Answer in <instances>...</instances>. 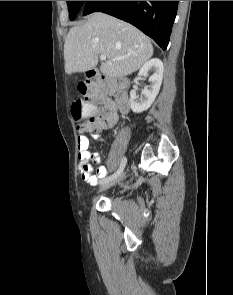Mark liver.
I'll use <instances>...</instances> for the list:
<instances>
[{"label":"liver","instance_id":"1","mask_svg":"<svg viewBox=\"0 0 233 295\" xmlns=\"http://www.w3.org/2000/svg\"><path fill=\"white\" fill-rule=\"evenodd\" d=\"M109 78H121L137 71L153 55L150 39L133 25L102 12L92 13L87 22L72 27L64 44L65 72H84L98 64ZM119 58L113 61L112 59Z\"/></svg>","mask_w":233,"mask_h":295}]
</instances>
